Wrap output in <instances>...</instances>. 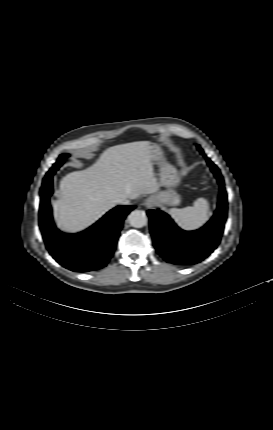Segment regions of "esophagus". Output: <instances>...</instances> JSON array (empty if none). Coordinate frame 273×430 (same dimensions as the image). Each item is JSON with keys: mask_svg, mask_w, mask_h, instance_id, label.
Returning <instances> with one entry per match:
<instances>
[{"mask_svg": "<svg viewBox=\"0 0 273 430\" xmlns=\"http://www.w3.org/2000/svg\"><path fill=\"white\" fill-rule=\"evenodd\" d=\"M155 204H156V201H155V198L154 197H148L147 199H145L144 200V203H143V205L146 207V208H152L153 206H155Z\"/></svg>", "mask_w": 273, "mask_h": 430, "instance_id": "1", "label": "esophagus"}]
</instances>
